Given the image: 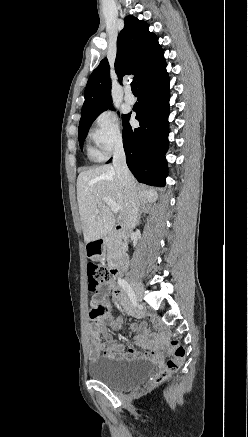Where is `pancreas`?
<instances>
[{"label":"pancreas","mask_w":248,"mask_h":437,"mask_svg":"<svg viewBox=\"0 0 248 437\" xmlns=\"http://www.w3.org/2000/svg\"><path fill=\"white\" fill-rule=\"evenodd\" d=\"M109 258L119 255L125 249L122 238L116 234L112 235L107 241Z\"/></svg>","instance_id":"obj_1"}]
</instances>
